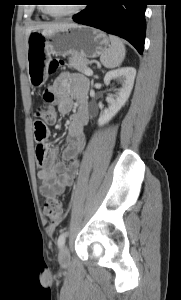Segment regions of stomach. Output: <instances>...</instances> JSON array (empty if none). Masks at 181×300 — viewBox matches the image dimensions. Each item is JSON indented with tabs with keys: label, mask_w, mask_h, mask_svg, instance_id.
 <instances>
[{
	"label": "stomach",
	"mask_w": 181,
	"mask_h": 300,
	"mask_svg": "<svg viewBox=\"0 0 181 300\" xmlns=\"http://www.w3.org/2000/svg\"><path fill=\"white\" fill-rule=\"evenodd\" d=\"M109 46L105 33L92 27L75 24L51 34L32 31L27 38V72L34 86L47 80V66L51 55H77L83 59L95 58Z\"/></svg>",
	"instance_id": "1"
}]
</instances>
